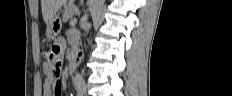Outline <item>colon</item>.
<instances>
[{
    "mask_svg": "<svg viewBox=\"0 0 232 96\" xmlns=\"http://www.w3.org/2000/svg\"><path fill=\"white\" fill-rule=\"evenodd\" d=\"M61 52V48L58 45H54L50 50L47 51V58L51 66L50 73L54 77H59L61 72L63 64Z\"/></svg>",
    "mask_w": 232,
    "mask_h": 96,
    "instance_id": "colon-1",
    "label": "colon"
}]
</instances>
